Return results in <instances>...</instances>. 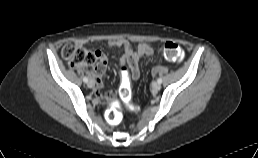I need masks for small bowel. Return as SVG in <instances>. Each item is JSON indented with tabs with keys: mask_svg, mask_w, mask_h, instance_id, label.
Segmentation results:
<instances>
[{
	"mask_svg": "<svg viewBox=\"0 0 258 158\" xmlns=\"http://www.w3.org/2000/svg\"><path fill=\"white\" fill-rule=\"evenodd\" d=\"M81 44L87 43V41H80ZM108 46L110 48H120L124 51L121 58L123 63H126L131 70V78L136 80L139 78L140 71L138 63L144 55L152 56L155 52L154 46L151 43L142 42L134 48L129 41L125 39H113L108 41ZM95 57L97 60L96 66L89 71L93 78L94 85L96 86L94 90V95L97 99L103 102L112 101V94H103L101 88L104 82V74L107 70L108 60L106 55L97 50L95 51Z\"/></svg>",
	"mask_w": 258,
	"mask_h": 158,
	"instance_id": "obj_1",
	"label": "small bowel"
}]
</instances>
